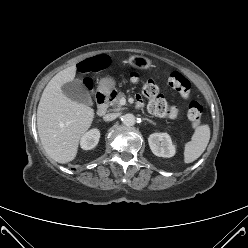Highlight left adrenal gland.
<instances>
[{"label": "left adrenal gland", "instance_id": "1", "mask_svg": "<svg viewBox=\"0 0 248 248\" xmlns=\"http://www.w3.org/2000/svg\"><path fill=\"white\" fill-rule=\"evenodd\" d=\"M144 121H148L149 123H152L153 124V121L148 119V118H143Z\"/></svg>", "mask_w": 248, "mask_h": 248}]
</instances>
